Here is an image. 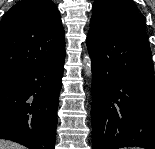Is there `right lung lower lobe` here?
Instances as JSON below:
<instances>
[{
    "label": "right lung lower lobe",
    "mask_w": 155,
    "mask_h": 149,
    "mask_svg": "<svg viewBox=\"0 0 155 149\" xmlns=\"http://www.w3.org/2000/svg\"><path fill=\"white\" fill-rule=\"evenodd\" d=\"M65 54L0 86V138L29 149H54Z\"/></svg>",
    "instance_id": "obj_1"
}]
</instances>
